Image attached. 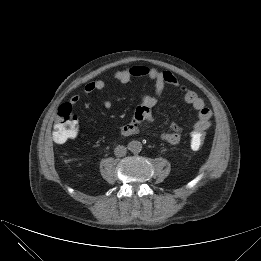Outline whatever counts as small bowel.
<instances>
[{
  "mask_svg": "<svg viewBox=\"0 0 261 261\" xmlns=\"http://www.w3.org/2000/svg\"><path fill=\"white\" fill-rule=\"evenodd\" d=\"M134 77H148L154 80V94L143 95L141 97L140 104L136 108L132 120L120 128V132L123 136H132L136 134L140 123L151 122L153 120L154 108L167 85L180 89L186 103L197 112L198 118L193 125L194 132L205 131L210 127L212 111L205 105L204 100L195 91L183 86L171 72L159 71L146 66L136 65L127 69L118 70L114 73V79L124 84L130 82ZM105 87L106 83L104 80H93L84 85V92L86 94L101 92ZM79 101L80 96L76 94L70 98L69 104L76 105ZM103 105L106 109H109L112 106V102L109 99H105ZM181 137L182 130L175 123L170 126L168 131L161 134V139L163 141L173 145L179 143Z\"/></svg>",
  "mask_w": 261,
  "mask_h": 261,
  "instance_id": "obj_1",
  "label": "small bowel"
}]
</instances>
